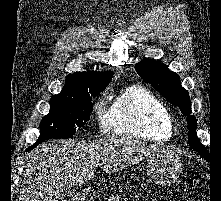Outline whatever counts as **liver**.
<instances>
[{
    "label": "liver",
    "instance_id": "obj_1",
    "mask_svg": "<svg viewBox=\"0 0 221 201\" xmlns=\"http://www.w3.org/2000/svg\"><path fill=\"white\" fill-rule=\"evenodd\" d=\"M129 136H112L89 143L59 140L44 143L28 154L19 201H58L62 188L92 179L99 165L112 173L139 163L145 157L168 152Z\"/></svg>",
    "mask_w": 221,
    "mask_h": 201
}]
</instances>
